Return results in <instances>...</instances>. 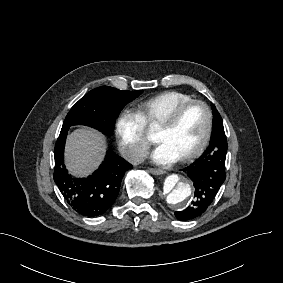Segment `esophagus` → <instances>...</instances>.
Instances as JSON below:
<instances>
[{"mask_svg": "<svg viewBox=\"0 0 283 283\" xmlns=\"http://www.w3.org/2000/svg\"><path fill=\"white\" fill-rule=\"evenodd\" d=\"M149 171L154 175H163L165 173L164 170L156 169V168H149Z\"/></svg>", "mask_w": 283, "mask_h": 283, "instance_id": "esophagus-1", "label": "esophagus"}]
</instances>
